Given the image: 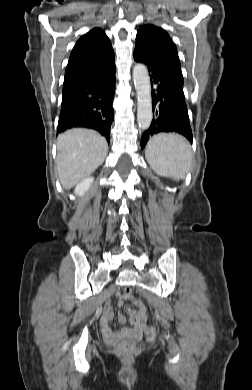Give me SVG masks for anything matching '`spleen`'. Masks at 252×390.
<instances>
[{
    "instance_id": "spleen-1",
    "label": "spleen",
    "mask_w": 252,
    "mask_h": 390,
    "mask_svg": "<svg viewBox=\"0 0 252 390\" xmlns=\"http://www.w3.org/2000/svg\"><path fill=\"white\" fill-rule=\"evenodd\" d=\"M146 159L158 175L183 179L191 161L190 145L176 134H158L149 140Z\"/></svg>"
}]
</instances>
